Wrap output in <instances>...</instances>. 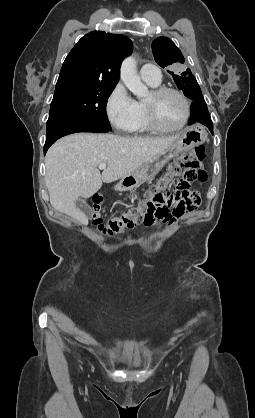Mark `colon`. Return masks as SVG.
<instances>
[{"label": "colon", "instance_id": "colon-1", "mask_svg": "<svg viewBox=\"0 0 255 418\" xmlns=\"http://www.w3.org/2000/svg\"><path fill=\"white\" fill-rule=\"evenodd\" d=\"M205 149L198 146L194 150L183 155L180 162L171 164L162 181L150 189L149 198L139 207L119 216L111 218L108 224H103V211L101 198L97 197L93 207V224L108 237L118 236L127 227H132L140 221L146 226H154L159 222L169 223L171 219L180 220V216L197 209L200 205V197L197 192L189 189L193 182H204L206 172L203 169ZM181 173L177 190L163 192L168 178Z\"/></svg>", "mask_w": 255, "mask_h": 418}]
</instances>
